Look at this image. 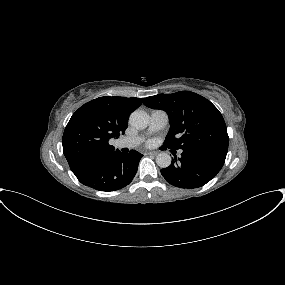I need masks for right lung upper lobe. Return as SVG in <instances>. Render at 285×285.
I'll return each instance as SVG.
<instances>
[{
	"instance_id": "cb5924a9",
	"label": "right lung upper lobe",
	"mask_w": 285,
	"mask_h": 285,
	"mask_svg": "<svg viewBox=\"0 0 285 285\" xmlns=\"http://www.w3.org/2000/svg\"><path fill=\"white\" fill-rule=\"evenodd\" d=\"M142 102V98L104 96L81 106L69 120L62 138L71 170L116 151L109 140L124 134L129 115Z\"/></svg>"
}]
</instances>
